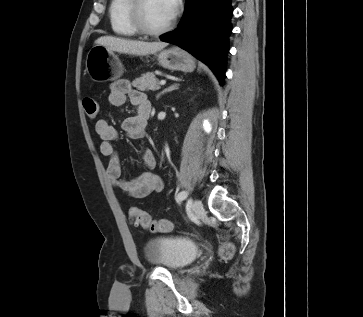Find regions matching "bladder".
Returning a JSON list of instances; mask_svg holds the SVG:
<instances>
[{"label":"bladder","instance_id":"obj_1","mask_svg":"<svg viewBox=\"0 0 363 317\" xmlns=\"http://www.w3.org/2000/svg\"><path fill=\"white\" fill-rule=\"evenodd\" d=\"M143 254L149 264L175 272L193 262L199 255V248L187 238L161 236L148 240Z\"/></svg>","mask_w":363,"mask_h":317}]
</instances>
